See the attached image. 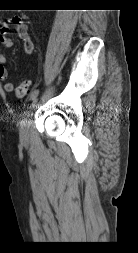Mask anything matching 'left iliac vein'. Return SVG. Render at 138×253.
<instances>
[{
    "instance_id": "1",
    "label": "left iliac vein",
    "mask_w": 138,
    "mask_h": 253,
    "mask_svg": "<svg viewBox=\"0 0 138 253\" xmlns=\"http://www.w3.org/2000/svg\"><path fill=\"white\" fill-rule=\"evenodd\" d=\"M38 103V99H35L30 106V111L28 112L26 118L23 120L22 124L20 125L19 129V137L20 141L25 143L28 142L30 136V125H31V115L32 112L36 109Z\"/></svg>"
}]
</instances>
